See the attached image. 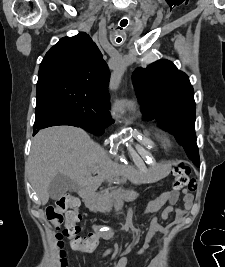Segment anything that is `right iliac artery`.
Wrapping results in <instances>:
<instances>
[{
	"label": "right iliac artery",
	"mask_w": 225,
	"mask_h": 267,
	"mask_svg": "<svg viewBox=\"0 0 225 267\" xmlns=\"http://www.w3.org/2000/svg\"><path fill=\"white\" fill-rule=\"evenodd\" d=\"M109 252H110V251H109V250H107V251H106V253H105V255H106V254H108Z\"/></svg>",
	"instance_id": "1"
}]
</instances>
